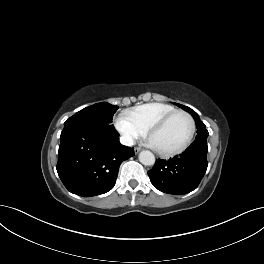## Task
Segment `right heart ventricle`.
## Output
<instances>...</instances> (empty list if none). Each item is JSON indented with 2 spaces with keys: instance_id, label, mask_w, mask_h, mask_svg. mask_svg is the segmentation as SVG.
<instances>
[{
  "instance_id": "right-heart-ventricle-1",
  "label": "right heart ventricle",
  "mask_w": 264,
  "mask_h": 264,
  "mask_svg": "<svg viewBox=\"0 0 264 264\" xmlns=\"http://www.w3.org/2000/svg\"><path fill=\"white\" fill-rule=\"evenodd\" d=\"M177 110L174 106L163 102H152L127 111L131 120L144 133L167 114Z\"/></svg>"
}]
</instances>
